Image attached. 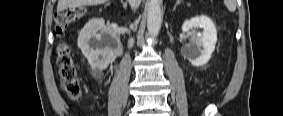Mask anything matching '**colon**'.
<instances>
[{"label": "colon", "instance_id": "5ec220e1", "mask_svg": "<svg viewBox=\"0 0 283 116\" xmlns=\"http://www.w3.org/2000/svg\"><path fill=\"white\" fill-rule=\"evenodd\" d=\"M84 14L82 6H74L55 17V30L61 36L67 27L79 20ZM56 62L61 77V87L70 99H78L81 95V84L78 78L77 68L72 56L70 46L61 41L56 47Z\"/></svg>", "mask_w": 283, "mask_h": 116}]
</instances>
